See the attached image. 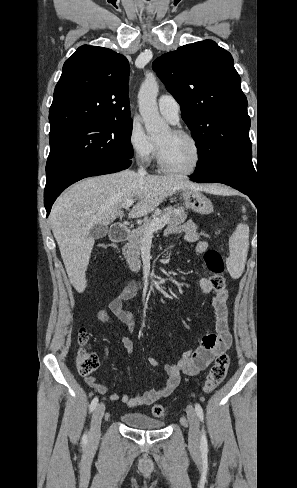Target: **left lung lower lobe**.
Wrapping results in <instances>:
<instances>
[{
    "label": "left lung lower lobe",
    "instance_id": "left-lung-lower-lobe-1",
    "mask_svg": "<svg viewBox=\"0 0 297 488\" xmlns=\"http://www.w3.org/2000/svg\"><path fill=\"white\" fill-rule=\"evenodd\" d=\"M191 180L201 183H223L249 196L256 203V182L249 177L234 171H217L205 176L192 174Z\"/></svg>",
    "mask_w": 297,
    "mask_h": 488
}]
</instances>
